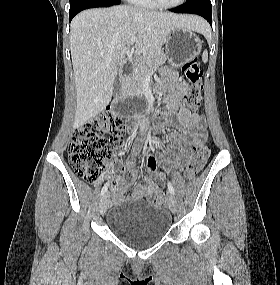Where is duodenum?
Here are the masks:
<instances>
[{
	"instance_id": "duodenum-1",
	"label": "duodenum",
	"mask_w": 280,
	"mask_h": 285,
	"mask_svg": "<svg viewBox=\"0 0 280 285\" xmlns=\"http://www.w3.org/2000/svg\"><path fill=\"white\" fill-rule=\"evenodd\" d=\"M115 106H116L117 108H119V107H120V102H116V103H115Z\"/></svg>"
}]
</instances>
